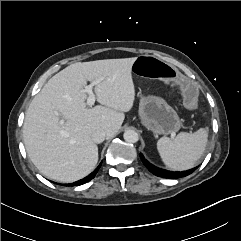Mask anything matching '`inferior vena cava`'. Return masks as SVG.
Returning <instances> with one entry per match:
<instances>
[{
    "instance_id": "obj_1",
    "label": "inferior vena cava",
    "mask_w": 241,
    "mask_h": 241,
    "mask_svg": "<svg viewBox=\"0 0 241 241\" xmlns=\"http://www.w3.org/2000/svg\"><path fill=\"white\" fill-rule=\"evenodd\" d=\"M105 137L106 133L101 129L94 131L92 134V140L97 144L102 143L105 140Z\"/></svg>"
}]
</instances>
